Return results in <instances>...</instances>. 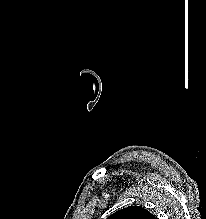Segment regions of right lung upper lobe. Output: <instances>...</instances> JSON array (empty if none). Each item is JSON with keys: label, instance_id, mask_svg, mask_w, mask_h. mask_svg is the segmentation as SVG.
Returning <instances> with one entry per match:
<instances>
[{"label": "right lung upper lobe", "instance_id": "obj_1", "mask_svg": "<svg viewBox=\"0 0 206 219\" xmlns=\"http://www.w3.org/2000/svg\"><path fill=\"white\" fill-rule=\"evenodd\" d=\"M107 219H156L155 216L149 213L146 209L141 206H129L123 208L112 215Z\"/></svg>", "mask_w": 206, "mask_h": 219}]
</instances>
